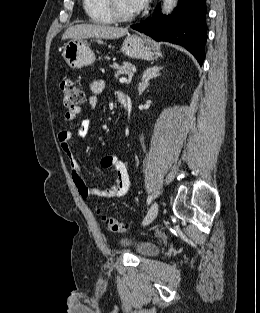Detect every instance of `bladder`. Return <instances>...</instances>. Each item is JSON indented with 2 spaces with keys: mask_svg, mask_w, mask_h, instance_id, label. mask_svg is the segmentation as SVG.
Returning a JSON list of instances; mask_svg holds the SVG:
<instances>
[{
  "mask_svg": "<svg viewBox=\"0 0 260 313\" xmlns=\"http://www.w3.org/2000/svg\"><path fill=\"white\" fill-rule=\"evenodd\" d=\"M120 242L123 246L132 248L134 253L141 257H152L159 252L158 246L150 241H139L130 237H122Z\"/></svg>",
  "mask_w": 260,
  "mask_h": 313,
  "instance_id": "31cf9c89",
  "label": "bladder"
}]
</instances>
